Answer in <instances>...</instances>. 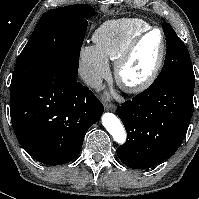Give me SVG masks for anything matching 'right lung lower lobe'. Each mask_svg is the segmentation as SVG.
<instances>
[{"instance_id": "98d812e1", "label": "right lung lower lobe", "mask_w": 199, "mask_h": 199, "mask_svg": "<svg viewBox=\"0 0 199 199\" xmlns=\"http://www.w3.org/2000/svg\"><path fill=\"white\" fill-rule=\"evenodd\" d=\"M104 107L76 77L49 69L10 90V115L23 149L47 165L70 162Z\"/></svg>"}]
</instances>
